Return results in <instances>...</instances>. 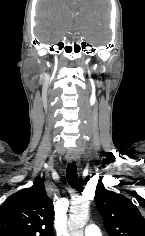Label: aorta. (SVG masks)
<instances>
[{
    "mask_svg": "<svg viewBox=\"0 0 145 236\" xmlns=\"http://www.w3.org/2000/svg\"><path fill=\"white\" fill-rule=\"evenodd\" d=\"M89 201L80 199L70 209L67 236H84L83 228L89 214Z\"/></svg>",
    "mask_w": 145,
    "mask_h": 236,
    "instance_id": "1",
    "label": "aorta"
}]
</instances>
